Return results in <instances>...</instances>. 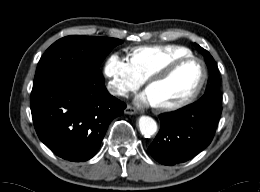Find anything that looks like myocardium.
I'll return each instance as SVG.
<instances>
[{
  "instance_id": "f54148a6",
  "label": "myocardium",
  "mask_w": 260,
  "mask_h": 192,
  "mask_svg": "<svg viewBox=\"0 0 260 192\" xmlns=\"http://www.w3.org/2000/svg\"><path fill=\"white\" fill-rule=\"evenodd\" d=\"M185 62L196 63L199 66V70H200V75H199V79L197 81V84L189 92V94L186 96V99L193 97L202 87L206 73H205V68H204L203 64L200 61H198L196 59H192V58H188V59H184V60L174 62V63H172V64H170V65H168V66H166V67H164L160 70L155 71L154 73L149 75V77L147 79L148 87H151L158 80H161V79L165 78L166 76H168L176 67H178L179 65H181L182 63H185Z\"/></svg>"
}]
</instances>
